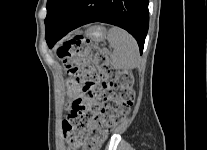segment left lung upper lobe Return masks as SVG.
Instances as JSON below:
<instances>
[{"label":"left lung upper lobe","mask_w":207,"mask_h":150,"mask_svg":"<svg viewBox=\"0 0 207 150\" xmlns=\"http://www.w3.org/2000/svg\"><path fill=\"white\" fill-rule=\"evenodd\" d=\"M70 2V0H48L47 1V16L45 19L46 25V32L50 30L58 18L60 17L61 13L65 9L66 5Z\"/></svg>","instance_id":"1"}]
</instances>
